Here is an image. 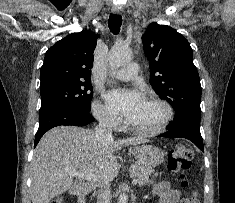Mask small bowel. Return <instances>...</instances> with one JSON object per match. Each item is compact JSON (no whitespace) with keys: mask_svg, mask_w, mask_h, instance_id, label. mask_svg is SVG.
Here are the masks:
<instances>
[{"mask_svg":"<svg viewBox=\"0 0 235 203\" xmlns=\"http://www.w3.org/2000/svg\"><path fill=\"white\" fill-rule=\"evenodd\" d=\"M152 193L158 198V203H180L181 193L172 189L167 181L155 182Z\"/></svg>","mask_w":235,"mask_h":203,"instance_id":"c3829d8e","label":"small bowel"}]
</instances>
